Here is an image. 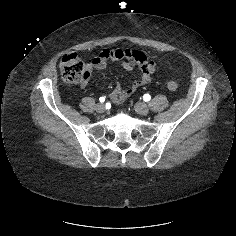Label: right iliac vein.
I'll return each instance as SVG.
<instances>
[{
	"instance_id": "obj_1",
	"label": "right iliac vein",
	"mask_w": 236,
	"mask_h": 236,
	"mask_svg": "<svg viewBox=\"0 0 236 236\" xmlns=\"http://www.w3.org/2000/svg\"><path fill=\"white\" fill-rule=\"evenodd\" d=\"M96 111L98 113H104L106 111L105 105L102 103L97 104Z\"/></svg>"
}]
</instances>
